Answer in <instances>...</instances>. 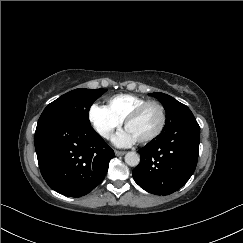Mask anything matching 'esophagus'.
Here are the masks:
<instances>
[{
    "mask_svg": "<svg viewBox=\"0 0 243 243\" xmlns=\"http://www.w3.org/2000/svg\"><path fill=\"white\" fill-rule=\"evenodd\" d=\"M124 154H126L125 151H118V150H115V155H116V156H122V155H124Z\"/></svg>",
    "mask_w": 243,
    "mask_h": 243,
    "instance_id": "obj_1",
    "label": "esophagus"
}]
</instances>
